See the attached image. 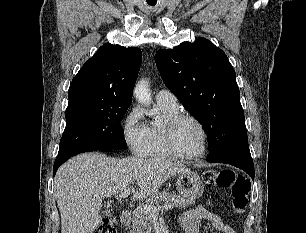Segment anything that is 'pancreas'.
Wrapping results in <instances>:
<instances>
[{"label":"pancreas","instance_id":"obj_1","mask_svg":"<svg viewBox=\"0 0 306 233\" xmlns=\"http://www.w3.org/2000/svg\"><path fill=\"white\" fill-rule=\"evenodd\" d=\"M158 202L171 203L176 208H186L187 206L193 205L194 200L181 197L176 194H171L169 192H162L155 194L148 200L147 204L155 205ZM152 231V215L145 212L141 208H137L133 212V224L130 233H151Z\"/></svg>","mask_w":306,"mask_h":233}]
</instances>
